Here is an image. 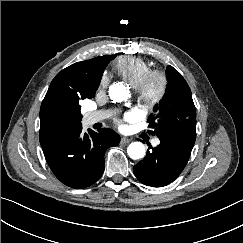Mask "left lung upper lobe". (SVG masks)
<instances>
[{"mask_svg": "<svg viewBox=\"0 0 243 243\" xmlns=\"http://www.w3.org/2000/svg\"><path fill=\"white\" fill-rule=\"evenodd\" d=\"M167 89L160 105L148 118L152 134L193 148L196 139V109L191 90L182 75L172 66L166 70Z\"/></svg>", "mask_w": 243, "mask_h": 243, "instance_id": "5c2ea615", "label": "left lung upper lobe"}]
</instances>
